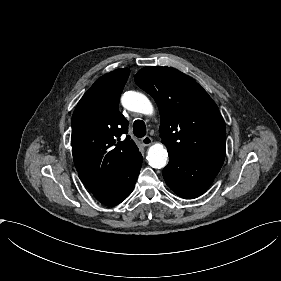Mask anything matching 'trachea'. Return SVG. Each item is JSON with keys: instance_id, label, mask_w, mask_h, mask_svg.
<instances>
[{"instance_id": "trachea-1", "label": "trachea", "mask_w": 281, "mask_h": 281, "mask_svg": "<svg viewBox=\"0 0 281 281\" xmlns=\"http://www.w3.org/2000/svg\"><path fill=\"white\" fill-rule=\"evenodd\" d=\"M133 133L139 138L146 135V125L142 120H136L133 123Z\"/></svg>"}]
</instances>
